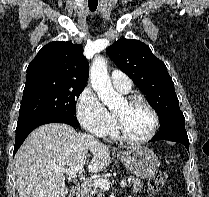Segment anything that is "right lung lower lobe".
Segmentation results:
<instances>
[{"mask_svg": "<svg viewBox=\"0 0 209 197\" xmlns=\"http://www.w3.org/2000/svg\"><path fill=\"white\" fill-rule=\"evenodd\" d=\"M53 122L66 123L73 127L79 126V122L76 119L62 115H46L18 123L16 128V141L13 155H15L23 141L32 130L40 125Z\"/></svg>", "mask_w": 209, "mask_h": 197, "instance_id": "right-lung-lower-lobe-1", "label": "right lung lower lobe"}]
</instances>
